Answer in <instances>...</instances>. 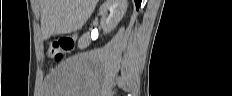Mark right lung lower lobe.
Here are the masks:
<instances>
[{
    "label": "right lung lower lobe",
    "mask_w": 232,
    "mask_h": 96,
    "mask_svg": "<svg viewBox=\"0 0 232 96\" xmlns=\"http://www.w3.org/2000/svg\"><path fill=\"white\" fill-rule=\"evenodd\" d=\"M134 1H135V4H136V8L139 9L142 0H134Z\"/></svg>",
    "instance_id": "1"
}]
</instances>
